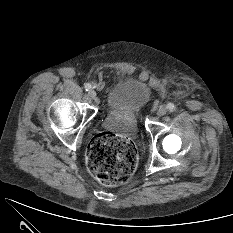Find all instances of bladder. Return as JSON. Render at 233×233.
<instances>
[{"label":"bladder","mask_w":233,"mask_h":233,"mask_svg":"<svg viewBox=\"0 0 233 233\" xmlns=\"http://www.w3.org/2000/svg\"><path fill=\"white\" fill-rule=\"evenodd\" d=\"M149 85L137 78H126L112 87L106 95L108 113H120L128 117L127 129L136 127L137 116L151 98Z\"/></svg>","instance_id":"31cf9c89"}]
</instances>
